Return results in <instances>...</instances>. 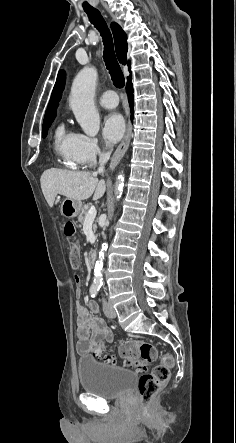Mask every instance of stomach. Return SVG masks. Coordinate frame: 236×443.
Listing matches in <instances>:
<instances>
[{"label": "stomach", "mask_w": 236, "mask_h": 443, "mask_svg": "<svg viewBox=\"0 0 236 443\" xmlns=\"http://www.w3.org/2000/svg\"><path fill=\"white\" fill-rule=\"evenodd\" d=\"M83 209L82 202L66 198L60 207L61 214L66 218L76 217Z\"/></svg>", "instance_id": "0dacf381"}]
</instances>
